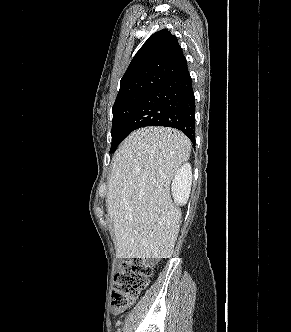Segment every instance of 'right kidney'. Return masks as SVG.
<instances>
[{
  "label": "right kidney",
  "instance_id": "right-kidney-1",
  "mask_svg": "<svg viewBox=\"0 0 291 332\" xmlns=\"http://www.w3.org/2000/svg\"><path fill=\"white\" fill-rule=\"evenodd\" d=\"M192 184V169L189 163L184 164L175 174L172 182L174 201L185 204L189 198Z\"/></svg>",
  "mask_w": 291,
  "mask_h": 332
}]
</instances>
